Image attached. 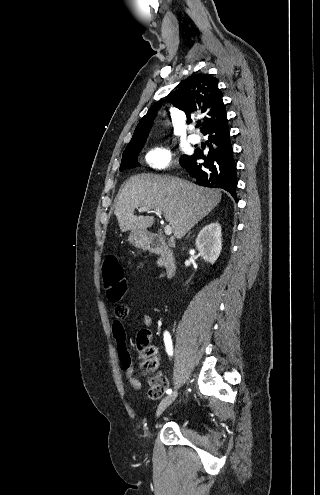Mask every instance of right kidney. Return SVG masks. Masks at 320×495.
Returning a JSON list of instances; mask_svg holds the SVG:
<instances>
[{
    "label": "right kidney",
    "instance_id": "ca27d5eb",
    "mask_svg": "<svg viewBox=\"0 0 320 495\" xmlns=\"http://www.w3.org/2000/svg\"><path fill=\"white\" fill-rule=\"evenodd\" d=\"M221 226L211 223L203 227L196 239V247L202 258L213 264L219 257L222 249Z\"/></svg>",
    "mask_w": 320,
    "mask_h": 495
}]
</instances>
